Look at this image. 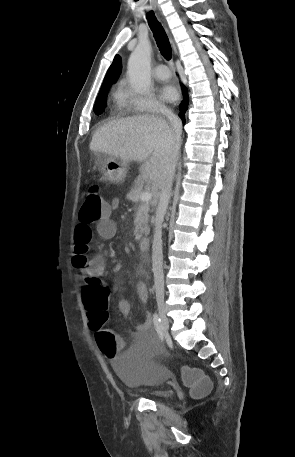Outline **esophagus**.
Returning a JSON list of instances; mask_svg holds the SVG:
<instances>
[{
	"mask_svg": "<svg viewBox=\"0 0 295 457\" xmlns=\"http://www.w3.org/2000/svg\"><path fill=\"white\" fill-rule=\"evenodd\" d=\"M171 41H172V44H173L174 53L176 54L177 53L176 46H175L173 40H171Z\"/></svg>",
	"mask_w": 295,
	"mask_h": 457,
	"instance_id": "esophagus-1",
	"label": "esophagus"
}]
</instances>
